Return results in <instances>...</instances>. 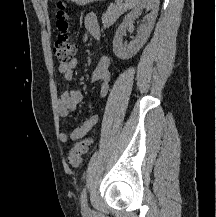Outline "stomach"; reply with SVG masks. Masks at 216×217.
I'll return each mask as SVG.
<instances>
[{"mask_svg":"<svg viewBox=\"0 0 216 217\" xmlns=\"http://www.w3.org/2000/svg\"><path fill=\"white\" fill-rule=\"evenodd\" d=\"M70 1L76 3L77 5L84 6L95 1H104V0H70Z\"/></svg>","mask_w":216,"mask_h":217,"instance_id":"obj_1","label":"stomach"}]
</instances>
